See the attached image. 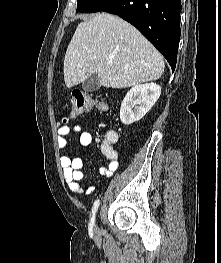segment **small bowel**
<instances>
[{
	"label": "small bowel",
	"instance_id": "obj_1",
	"mask_svg": "<svg viewBox=\"0 0 221 263\" xmlns=\"http://www.w3.org/2000/svg\"><path fill=\"white\" fill-rule=\"evenodd\" d=\"M73 133L78 137L79 144L83 147H90L93 143L92 134L82 129L81 126L76 125L73 128L61 127L58 130L57 146L64 151L67 146V136ZM118 140V135L115 131H108L105 139L101 143L100 151L109 160L107 167L99 169V174L102 177L109 178L118 169V154L113 149V144ZM60 165L63 168L64 179L69 189L74 193L90 194L94 191V185L91 183L81 185L84 174L81 171L83 166V159L81 156L70 157L66 153L60 155Z\"/></svg>",
	"mask_w": 221,
	"mask_h": 263
}]
</instances>
